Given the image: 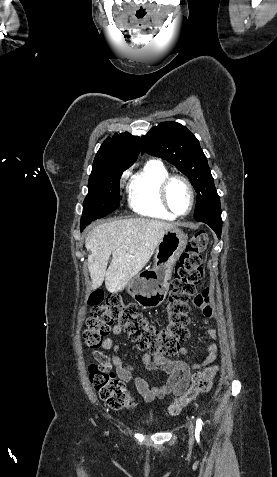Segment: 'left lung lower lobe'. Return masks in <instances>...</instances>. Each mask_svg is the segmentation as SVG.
<instances>
[{"label": "left lung lower lobe", "instance_id": "left-lung-lower-lobe-1", "mask_svg": "<svg viewBox=\"0 0 277 477\" xmlns=\"http://www.w3.org/2000/svg\"><path fill=\"white\" fill-rule=\"evenodd\" d=\"M197 221L204 222L208 224L217 234L218 238L221 236L222 230V219L220 214H213L203 218L198 219Z\"/></svg>", "mask_w": 277, "mask_h": 477}]
</instances>
